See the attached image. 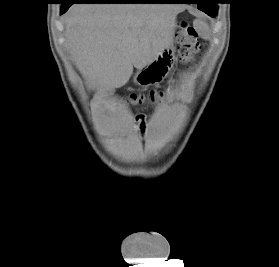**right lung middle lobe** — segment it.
<instances>
[{"instance_id":"dd1d6c3e","label":"right lung middle lobe","mask_w":279,"mask_h":267,"mask_svg":"<svg viewBox=\"0 0 279 267\" xmlns=\"http://www.w3.org/2000/svg\"><path fill=\"white\" fill-rule=\"evenodd\" d=\"M67 0H64L63 2H66ZM123 1H129V2H132L134 0H123Z\"/></svg>"}]
</instances>
